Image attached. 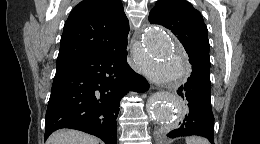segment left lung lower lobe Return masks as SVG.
Wrapping results in <instances>:
<instances>
[{
	"mask_svg": "<svg viewBox=\"0 0 260 144\" xmlns=\"http://www.w3.org/2000/svg\"><path fill=\"white\" fill-rule=\"evenodd\" d=\"M192 72L187 83L181 85L177 93L185 101L187 108L184 119L179 126L167 136L199 135L214 141V116L211 107L210 64L196 58L189 59Z\"/></svg>",
	"mask_w": 260,
	"mask_h": 144,
	"instance_id": "left-lung-lower-lobe-1",
	"label": "left lung lower lobe"
}]
</instances>
